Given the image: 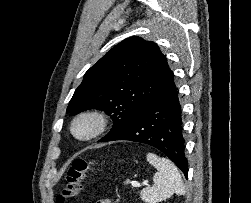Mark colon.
<instances>
[{
    "mask_svg": "<svg viewBox=\"0 0 251 203\" xmlns=\"http://www.w3.org/2000/svg\"><path fill=\"white\" fill-rule=\"evenodd\" d=\"M94 162L75 160L68 168L65 176L64 184L58 196L59 203L79 195L82 188V181L86 173L92 169Z\"/></svg>",
    "mask_w": 251,
    "mask_h": 203,
    "instance_id": "5ec220e1",
    "label": "colon"
}]
</instances>
